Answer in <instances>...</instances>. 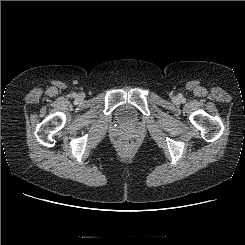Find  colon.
I'll list each match as a JSON object with an SVG mask.
<instances>
[{"instance_id": "1", "label": "colon", "mask_w": 245, "mask_h": 245, "mask_svg": "<svg viewBox=\"0 0 245 245\" xmlns=\"http://www.w3.org/2000/svg\"><path fill=\"white\" fill-rule=\"evenodd\" d=\"M120 144L124 147V148H131L133 143L130 139H122L120 141Z\"/></svg>"}]
</instances>
